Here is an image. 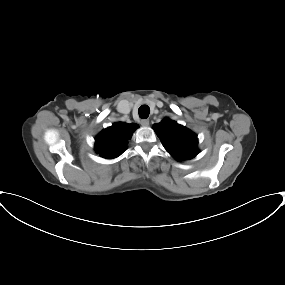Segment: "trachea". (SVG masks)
Here are the masks:
<instances>
[{"instance_id": "3493384b", "label": "trachea", "mask_w": 285, "mask_h": 285, "mask_svg": "<svg viewBox=\"0 0 285 285\" xmlns=\"http://www.w3.org/2000/svg\"><path fill=\"white\" fill-rule=\"evenodd\" d=\"M150 108L147 105H142L138 109L139 117L142 119H146L149 116Z\"/></svg>"}]
</instances>
